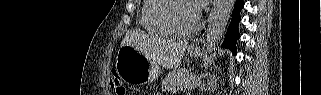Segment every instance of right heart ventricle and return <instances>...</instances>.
I'll return each instance as SVG.
<instances>
[{
	"label": "right heart ventricle",
	"instance_id": "obj_1",
	"mask_svg": "<svg viewBox=\"0 0 321 95\" xmlns=\"http://www.w3.org/2000/svg\"><path fill=\"white\" fill-rule=\"evenodd\" d=\"M163 0H144L140 9V20L143 27L154 35L171 34L158 20L157 11Z\"/></svg>",
	"mask_w": 321,
	"mask_h": 95
}]
</instances>
